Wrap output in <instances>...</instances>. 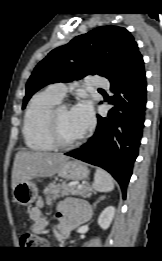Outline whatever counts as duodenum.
<instances>
[{"mask_svg":"<svg viewBox=\"0 0 162 261\" xmlns=\"http://www.w3.org/2000/svg\"><path fill=\"white\" fill-rule=\"evenodd\" d=\"M60 232H61V234L63 235V236H67L68 235V228H66V227H61L60 228Z\"/></svg>","mask_w":162,"mask_h":261,"instance_id":"410a0bca","label":"duodenum"}]
</instances>
